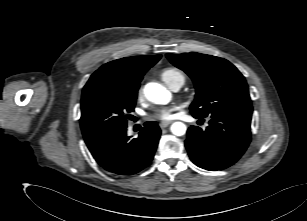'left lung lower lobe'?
Wrapping results in <instances>:
<instances>
[{"label": "left lung lower lobe", "instance_id": "obj_1", "mask_svg": "<svg viewBox=\"0 0 307 221\" xmlns=\"http://www.w3.org/2000/svg\"><path fill=\"white\" fill-rule=\"evenodd\" d=\"M251 117L224 112L209 116L205 130L191 126L185 146L192 162L210 171L223 170L236 163L251 141Z\"/></svg>", "mask_w": 307, "mask_h": 221}]
</instances>
